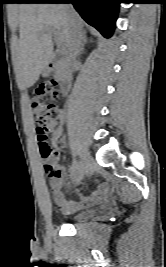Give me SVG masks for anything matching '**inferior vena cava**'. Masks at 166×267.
<instances>
[{
	"instance_id": "1",
	"label": "inferior vena cava",
	"mask_w": 166,
	"mask_h": 267,
	"mask_svg": "<svg viewBox=\"0 0 166 267\" xmlns=\"http://www.w3.org/2000/svg\"><path fill=\"white\" fill-rule=\"evenodd\" d=\"M65 8L72 14L73 7L66 4ZM82 27L74 19L69 21V31H68V49L70 52L71 60L73 64L76 62L77 57L82 51Z\"/></svg>"
}]
</instances>
